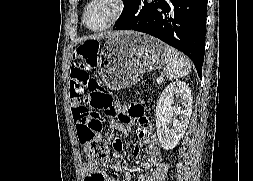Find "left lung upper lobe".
Here are the masks:
<instances>
[{
  "instance_id": "obj_1",
  "label": "left lung upper lobe",
  "mask_w": 253,
  "mask_h": 181,
  "mask_svg": "<svg viewBox=\"0 0 253 181\" xmlns=\"http://www.w3.org/2000/svg\"><path fill=\"white\" fill-rule=\"evenodd\" d=\"M136 1L137 0H128L127 2L124 3L123 12H122L120 18L116 21L115 25H117L120 21H122L130 13V11L133 9V6Z\"/></svg>"
}]
</instances>
